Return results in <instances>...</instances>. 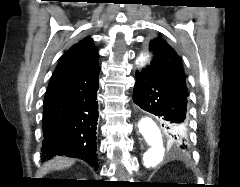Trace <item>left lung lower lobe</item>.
Masks as SVG:
<instances>
[{
  "mask_svg": "<svg viewBox=\"0 0 240 187\" xmlns=\"http://www.w3.org/2000/svg\"><path fill=\"white\" fill-rule=\"evenodd\" d=\"M187 97V89L164 80L150 66L136 72L134 103L142 112L158 116L165 123L170 140L174 142L171 145L175 149L187 150L189 147L188 139H183L184 134L175 129L176 125L187 127Z\"/></svg>",
  "mask_w": 240,
  "mask_h": 187,
  "instance_id": "obj_1",
  "label": "left lung lower lobe"
}]
</instances>
